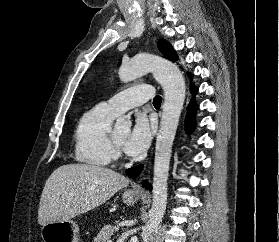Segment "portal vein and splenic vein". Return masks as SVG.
<instances>
[{"label": "portal vein and splenic vein", "instance_id": "obj_1", "mask_svg": "<svg viewBox=\"0 0 279 242\" xmlns=\"http://www.w3.org/2000/svg\"><path fill=\"white\" fill-rule=\"evenodd\" d=\"M107 242H112V240H108Z\"/></svg>", "mask_w": 279, "mask_h": 242}]
</instances>
